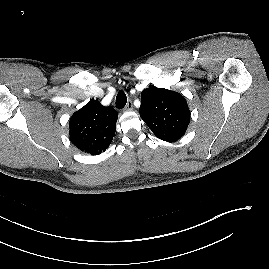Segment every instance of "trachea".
I'll return each mask as SVG.
<instances>
[{
  "mask_svg": "<svg viewBox=\"0 0 269 269\" xmlns=\"http://www.w3.org/2000/svg\"><path fill=\"white\" fill-rule=\"evenodd\" d=\"M126 102H127L126 94L124 93V91L120 90L116 97V107L118 109H122L125 107Z\"/></svg>",
  "mask_w": 269,
  "mask_h": 269,
  "instance_id": "3493384b",
  "label": "trachea"
}]
</instances>
